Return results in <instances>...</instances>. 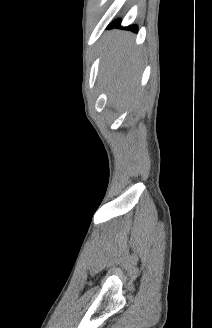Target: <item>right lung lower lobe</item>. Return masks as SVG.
<instances>
[{"label": "right lung lower lobe", "instance_id": "right-lung-lower-lobe-1", "mask_svg": "<svg viewBox=\"0 0 212 328\" xmlns=\"http://www.w3.org/2000/svg\"><path fill=\"white\" fill-rule=\"evenodd\" d=\"M120 23H121L120 20H116L109 27H114V24H116V27H119ZM127 29L132 30L134 32H137V30H138L136 25H131V26L127 27Z\"/></svg>", "mask_w": 212, "mask_h": 328}]
</instances>
